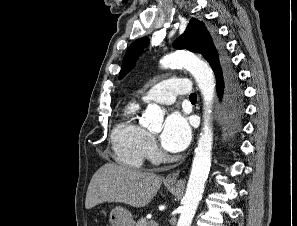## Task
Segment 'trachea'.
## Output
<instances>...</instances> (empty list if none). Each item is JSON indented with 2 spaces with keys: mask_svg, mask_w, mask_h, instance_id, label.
<instances>
[{
  "mask_svg": "<svg viewBox=\"0 0 297 226\" xmlns=\"http://www.w3.org/2000/svg\"><path fill=\"white\" fill-rule=\"evenodd\" d=\"M190 101H191V102H196V101H197V95H196V93H192V94L190 95Z\"/></svg>",
  "mask_w": 297,
  "mask_h": 226,
  "instance_id": "obj_1",
  "label": "trachea"
}]
</instances>
